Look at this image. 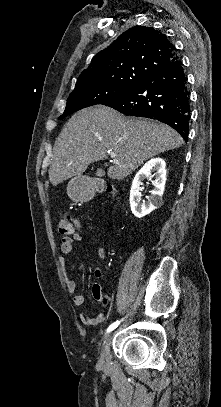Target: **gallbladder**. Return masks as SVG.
Listing matches in <instances>:
<instances>
[{"label": "gallbladder", "mask_w": 221, "mask_h": 407, "mask_svg": "<svg viewBox=\"0 0 221 407\" xmlns=\"http://www.w3.org/2000/svg\"><path fill=\"white\" fill-rule=\"evenodd\" d=\"M96 175H98V176H103V175H104V171H103L102 169H97Z\"/></svg>", "instance_id": "1"}]
</instances>
